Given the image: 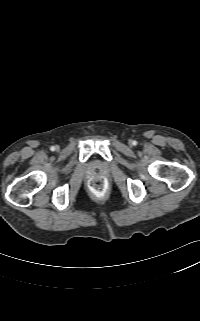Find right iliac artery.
Masks as SVG:
<instances>
[{
    "label": "right iliac artery",
    "mask_w": 200,
    "mask_h": 321,
    "mask_svg": "<svg viewBox=\"0 0 200 321\" xmlns=\"http://www.w3.org/2000/svg\"><path fill=\"white\" fill-rule=\"evenodd\" d=\"M50 150H51V151H54V150H55V147H54V146H52V147L50 148Z\"/></svg>",
    "instance_id": "right-iliac-artery-1"
}]
</instances>
